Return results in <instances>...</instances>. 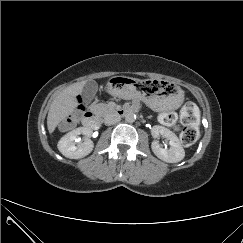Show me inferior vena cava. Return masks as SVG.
<instances>
[{"instance_id": "obj_1", "label": "inferior vena cava", "mask_w": 243, "mask_h": 243, "mask_svg": "<svg viewBox=\"0 0 243 243\" xmlns=\"http://www.w3.org/2000/svg\"><path fill=\"white\" fill-rule=\"evenodd\" d=\"M121 120L120 116L116 113H109L104 117L105 125H113L118 123Z\"/></svg>"}]
</instances>
